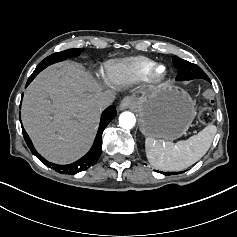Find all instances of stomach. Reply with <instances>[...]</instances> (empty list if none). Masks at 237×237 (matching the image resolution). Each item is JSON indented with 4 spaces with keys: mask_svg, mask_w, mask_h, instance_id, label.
Returning a JSON list of instances; mask_svg holds the SVG:
<instances>
[{
    "mask_svg": "<svg viewBox=\"0 0 237 237\" xmlns=\"http://www.w3.org/2000/svg\"><path fill=\"white\" fill-rule=\"evenodd\" d=\"M132 98L140 131L147 137L177 139L186 133L196 116L195 102L188 92L170 82L150 91L141 88Z\"/></svg>",
    "mask_w": 237,
    "mask_h": 237,
    "instance_id": "stomach-1",
    "label": "stomach"
}]
</instances>
